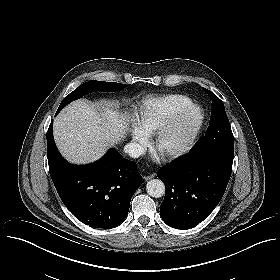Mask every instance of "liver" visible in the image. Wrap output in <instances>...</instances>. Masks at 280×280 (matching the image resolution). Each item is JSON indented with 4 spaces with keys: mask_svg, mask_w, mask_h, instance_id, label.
I'll return each mask as SVG.
<instances>
[{
    "mask_svg": "<svg viewBox=\"0 0 280 280\" xmlns=\"http://www.w3.org/2000/svg\"><path fill=\"white\" fill-rule=\"evenodd\" d=\"M128 119L108 105L97 110L86 100H77L54 119L55 143L68 162L93 163L125 137Z\"/></svg>",
    "mask_w": 280,
    "mask_h": 280,
    "instance_id": "6515ba94",
    "label": "liver"
}]
</instances>
